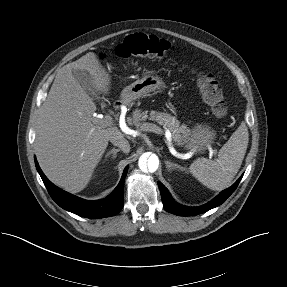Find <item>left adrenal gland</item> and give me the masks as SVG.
<instances>
[{
    "label": "left adrenal gland",
    "instance_id": "left-adrenal-gland-1",
    "mask_svg": "<svg viewBox=\"0 0 287 287\" xmlns=\"http://www.w3.org/2000/svg\"><path fill=\"white\" fill-rule=\"evenodd\" d=\"M165 165L168 171L174 170V169H179L181 171H185L186 169L176 163L170 162V161H165Z\"/></svg>",
    "mask_w": 287,
    "mask_h": 287
}]
</instances>
